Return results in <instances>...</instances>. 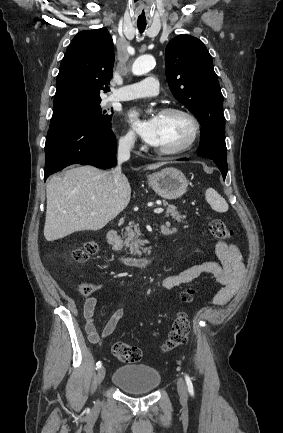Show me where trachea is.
<instances>
[{
    "label": "trachea",
    "mask_w": 283,
    "mask_h": 433,
    "mask_svg": "<svg viewBox=\"0 0 283 433\" xmlns=\"http://www.w3.org/2000/svg\"><path fill=\"white\" fill-rule=\"evenodd\" d=\"M138 30L139 32L142 34L144 32V30L146 29V25H138Z\"/></svg>",
    "instance_id": "trachea-1"
}]
</instances>
